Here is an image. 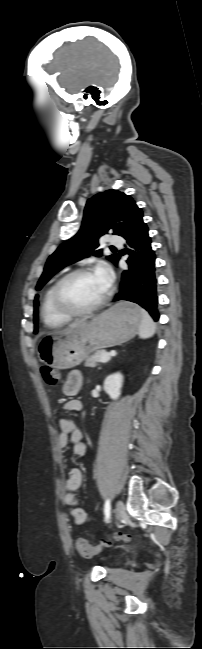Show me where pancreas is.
<instances>
[{
	"instance_id": "1",
	"label": "pancreas",
	"mask_w": 202,
	"mask_h": 649,
	"mask_svg": "<svg viewBox=\"0 0 202 649\" xmlns=\"http://www.w3.org/2000/svg\"><path fill=\"white\" fill-rule=\"evenodd\" d=\"M102 353H107V354H108V352H107L106 350H99V351L96 352L93 356H91L90 358H88V359L86 360V362H85V366H87V367H91V368L97 366V364L100 363V359H99V358H100V355H101Z\"/></svg>"
}]
</instances>
